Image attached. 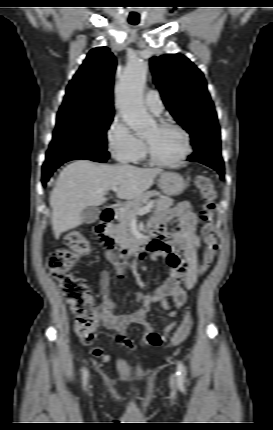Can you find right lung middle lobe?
<instances>
[{
  "mask_svg": "<svg viewBox=\"0 0 273 430\" xmlns=\"http://www.w3.org/2000/svg\"><path fill=\"white\" fill-rule=\"evenodd\" d=\"M113 114L112 111L60 109L43 167L106 153V130L113 121Z\"/></svg>",
  "mask_w": 273,
  "mask_h": 430,
  "instance_id": "right-lung-middle-lobe-1",
  "label": "right lung middle lobe"
}]
</instances>
